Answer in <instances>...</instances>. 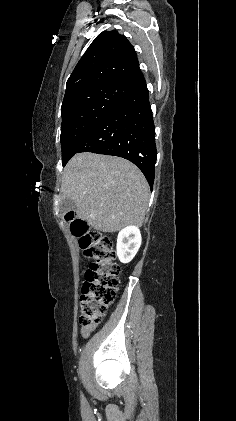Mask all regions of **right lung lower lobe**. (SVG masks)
I'll return each instance as SVG.
<instances>
[{
    "label": "right lung lower lobe",
    "mask_w": 236,
    "mask_h": 421,
    "mask_svg": "<svg viewBox=\"0 0 236 421\" xmlns=\"http://www.w3.org/2000/svg\"><path fill=\"white\" fill-rule=\"evenodd\" d=\"M120 86L127 95L80 139L73 155L93 152L123 157L140 168L152 188L155 128L144 75L140 70Z\"/></svg>",
    "instance_id": "obj_1"
}]
</instances>
